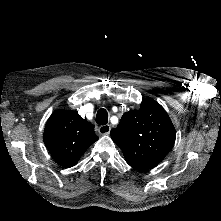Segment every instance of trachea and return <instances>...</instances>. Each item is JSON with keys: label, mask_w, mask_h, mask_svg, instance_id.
Wrapping results in <instances>:
<instances>
[{"label": "trachea", "mask_w": 221, "mask_h": 221, "mask_svg": "<svg viewBox=\"0 0 221 221\" xmlns=\"http://www.w3.org/2000/svg\"><path fill=\"white\" fill-rule=\"evenodd\" d=\"M96 122L99 125H106L108 123V112L104 108L98 110L96 114Z\"/></svg>", "instance_id": "trachea-1"}]
</instances>
